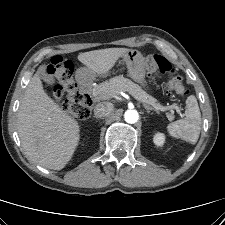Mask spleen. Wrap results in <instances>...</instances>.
Masks as SVG:
<instances>
[{"mask_svg":"<svg viewBox=\"0 0 225 225\" xmlns=\"http://www.w3.org/2000/svg\"><path fill=\"white\" fill-rule=\"evenodd\" d=\"M201 130V113L197 99L191 95L186 100L184 118L167 125L170 136L196 144Z\"/></svg>","mask_w":225,"mask_h":225,"instance_id":"1","label":"spleen"}]
</instances>
